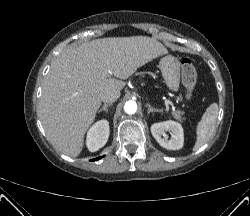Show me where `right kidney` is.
Here are the masks:
<instances>
[{
	"mask_svg": "<svg viewBox=\"0 0 250 216\" xmlns=\"http://www.w3.org/2000/svg\"><path fill=\"white\" fill-rule=\"evenodd\" d=\"M109 133V122L107 120H100L90 127L86 138V146L89 151L95 152L102 148L108 140Z\"/></svg>",
	"mask_w": 250,
	"mask_h": 216,
	"instance_id": "obj_1",
	"label": "right kidney"
}]
</instances>
